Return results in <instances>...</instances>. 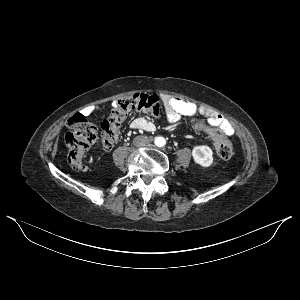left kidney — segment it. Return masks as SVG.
<instances>
[{"label": "left kidney", "instance_id": "5707ae66", "mask_svg": "<svg viewBox=\"0 0 300 300\" xmlns=\"http://www.w3.org/2000/svg\"><path fill=\"white\" fill-rule=\"evenodd\" d=\"M192 156L194 161L203 167H209L213 163V152L207 145L194 147Z\"/></svg>", "mask_w": 300, "mask_h": 300}]
</instances>
